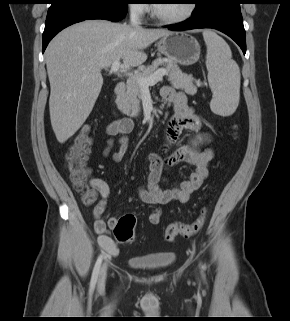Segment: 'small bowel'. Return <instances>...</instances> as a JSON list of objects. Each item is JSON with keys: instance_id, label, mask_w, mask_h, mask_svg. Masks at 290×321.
Returning a JSON list of instances; mask_svg holds the SVG:
<instances>
[{"instance_id": "c3829d8e", "label": "small bowel", "mask_w": 290, "mask_h": 321, "mask_svg": "<svg viewBox=\"0 0 290 321\" xmlns=\"http://www.w3.org/2000/svg\"><path fill=\"white\" fill-rule=\"evenodd\" d=\"M162 97L174 104V114L169 119L165 134L164 143L160 152L152 153L148 157L149 173L146 186L139 190L140 199L157 207L150 213L149 222L158 224L161 221L163 210L161 206L177 201L187 203L193 192L200 188L209 174V163L213 159L214 152L211 148L194 149L190 146L173 148L181 133L185 129L195 131L201 142L208 141V136L202 131V122L195 115L193 109L187 104V98L183 91H177L170 86L161 90ZM134 122L131 118H120L113 121L107 127L108 139L103 148V155L110 156L111 147L114 144V137H119L120 148L111 154L114 162H119L126 153L129 139L128 134L132 132ZM184 163L193 167V171L187 180L182 181L178 186L163 189L160 185L163 174L172 166ZM90 186L95 190L100 200L93 208V225L100 238V244L109 253L117 252L113 242L106 236L109 228L117 221L115 217L109 218L106 222L103 218L107 209L110 195L109 185L100 178L90 181Z\"/></svg>"}]
</instances>
